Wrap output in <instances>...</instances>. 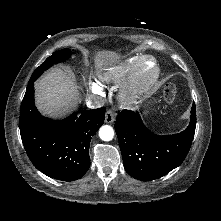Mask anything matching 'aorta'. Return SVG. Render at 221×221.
Returning a JSON list of instances; mask_svg holds the SVG:
<instances>
[{
    "mask_svg": "<svg viewBox=\"0 0 221 221\" xmlns=\"http://www.w3.org/2000/svg\"><path fill=\"white\" fill-rule=\"evenodd\" d=\"M99 136L103 141H111L114 137V130L109 125H104L99 129Z\"/></svg>",
    "mask_w": 221,
    "mask_h": 221,
    "instance_id": "aorta-1",
    "label": "aorta"
}]
</instances>
